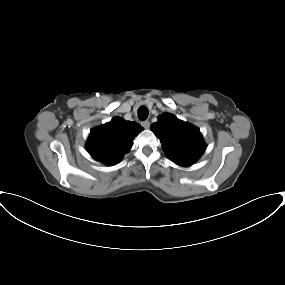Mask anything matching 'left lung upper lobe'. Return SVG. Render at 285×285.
Listing matches in <instances>:
<instances>
[{
    "label": "left lung upper lobe",
    "instance_id": "obj_1",
    "mask_svg": "<svg viewBox=\"0 0 285 285\" xmlns=\"http://www.w3.org/2000/svg\"><path fill=\"white\" fill-rule=\"evenodd\" d=\"M150 129L168 158L179 166H191L206 149L199 129L172 114H162Z\"/></svg>",
    "mask_w": 285,
    "mask_h": 285
}]
</instances>
